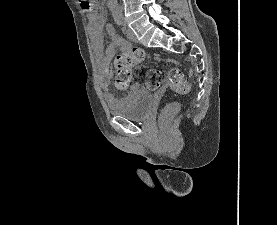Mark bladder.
<instances>
[{"label":"bladder","mask_w":277,"mask_h":225,"mask_svg":"<svg viewBox=\"0 0 277 225\" xmlns=\"http://www.w3.org/2000/svg\"><path fill=\"white\" fill-rule=\"evenodd\" d=\"M153 105L154 98L151 92L144 89H134L111 103L109 111L112 115L138 121L145 120L150 116Z\"/></svg>","instance_id":"bladder-1"}]
</instances>
